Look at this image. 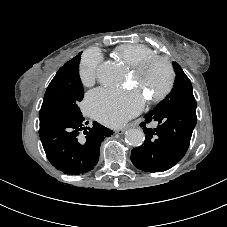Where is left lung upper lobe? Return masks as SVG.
<instances>
[{"label": "left lung upper lobe", "instance_id": "obj_1", "mask_svg": "<svg viewBox=\"0 0 227 227\" xmlns=\"http://www.w3.org/2000/svg\"><path fill=\"white\" fill-rule=\"evenodd\" d=\"M173 67L176 73L173 89L154 110L180 109L196 113V100L193 95L191 81L178 63L173 62Z\"/></svg>", "mask_w": 227, "mask_h": 227}]
</instances>
